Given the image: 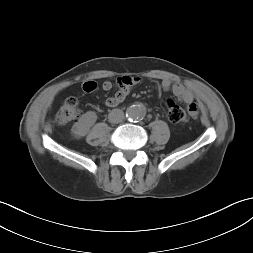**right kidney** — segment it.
Returning <instances> with one entry per match:
<instances>
[{
    "label": "right kidney",
    "mask_w": 253,
    "mask_h": 253,
    "mask_svg": "<svg viewBox=\"0 0 253 253\" xmlns=\"http://www.w3.org/2000/svg\"><path fill=\"white\" fill-rule=\"evenodd\" d=\"M97 120V115L93 111H88L82 117L80 120L74 124L72 128V133L76 137H83L86 136L89 132L90 128L94 125V123Z\"/></svg>",
    "instance_id": "ca27d5eb"
}]
</instances>
